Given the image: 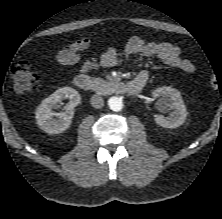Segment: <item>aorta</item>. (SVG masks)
<instances>
[{"label": "aorta", "mask_w": 222, "mask_h": 219, "mask_svg": "<svg viewBox=\"0 0 222 219\" xmlns=\"http://www.w3.org/2000/svg\"><path fill=\"white\" fill-rule=\"evenodd\" d=\"M109 107L113 111H120L123 108V102L118 97H111L108 101Z\"/></svg>", "instance_id": "1"}]
</instances>
